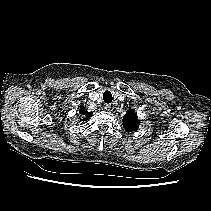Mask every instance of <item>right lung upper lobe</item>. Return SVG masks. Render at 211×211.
<instances>
[{"label":"right lung upper lobe","mask_w":211,"mask_h":211,"mask_svg":"<svg viewBox=\"0 0 211 211\" xmlns=\"http://www.w3.org/2000/svg\"><path fill=\"white\" fill-rule=\"evenodd\" d=\"M82 115H85L86 116V119H88L91 115H92V112H88V111H85V108L84 106H81L80 107V111H79Z\"/></svg>","instance_id":"right-lung-upper-lobe-1"}]
</instances>
